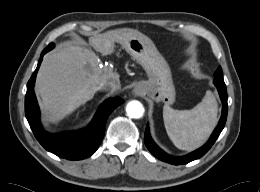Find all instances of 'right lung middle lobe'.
I'll return each instance as SVG.
<instances>
[{
  "label": "right lung middle lobe",
  "mask_w": 260,
  "mask_h": 192,
  "mask_svg": "<svg viewBox=\"0 0 260 192\" xmlns=\"http://www.w3.org/2000/svg\"><path fill=\"white\" fill-rule=\"evenodd\" d=\"M53 47H54V43H51V44H49V45L47 46V48L50 49V50H51Z\"/></svg>",
  "instance_id": "dd1d6c3e"
}]
</instances>
